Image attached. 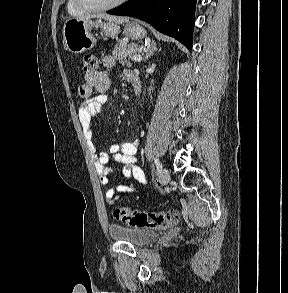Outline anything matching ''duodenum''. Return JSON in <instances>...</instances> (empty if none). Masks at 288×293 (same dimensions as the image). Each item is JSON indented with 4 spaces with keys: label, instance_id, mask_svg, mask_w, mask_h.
Here are the masks:
<instances>
[{
    "label": "duodenum",
    "instance_id": "obj_1",
    "mask_svg": "<svg viewBox=\"0 0 288 293\" xmlns=\"http://www.w3.org/2000/svg\"><path fill=\"white\" fill-rule=\"evenodd\" d=\"M132 86H133V90L134 93L136 95H138L141 91V82L139 80V78L137 76H134L131 80H130Z\"/></svg>",
    "mask_w": 288,
    "mask_h": 293
}]
</instances>
